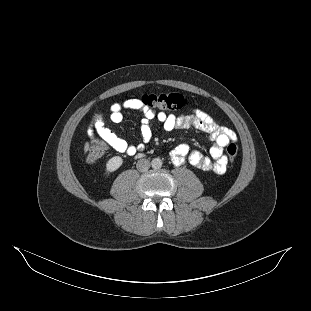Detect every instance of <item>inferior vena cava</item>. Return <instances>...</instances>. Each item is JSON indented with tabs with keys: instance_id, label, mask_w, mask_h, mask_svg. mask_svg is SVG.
Returning a JSON list of instances; mask_svg holds the SVG:
<instances>
[{
	"instance_id": "obj_1",
	"label": "inferior vena cava",
	"mask_w": 311,
	"mask_h": 311,
	"mask_svg": "<svg viewBox=\"0 0 311 311\" xmlns=\"http://www.w3.org/2000/svg\"><path fill=\"white\" fill-rule=\"evenodd\" d=\"M150 166H151V163L147 159H140L137 161V164H136L137 170L140 172L147 171L150 168Z\"/></svg>"
}]
</instances>
